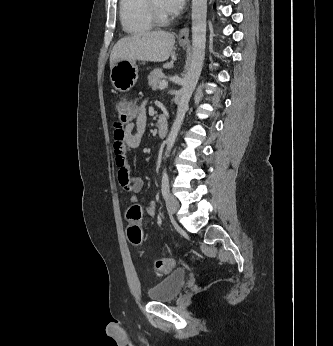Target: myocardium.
<instances>
[{
  "mask_svg": "<svg viewBox=\"0 0 333 346\" xmlns=\"http://www.w3.org/2000/svg\"><path fill=\"white\" fill-rule=\"evenodd\" d=\"M147 2L151 17L156 24L165 25L170 21V16L162 13L153 0H147Z\"/></svg>",
  "mask_w": 333,
  "mask_h": 346,
  "instance_id": "myocardium-1",
  "label": "myocardium"
}]
</instances>
